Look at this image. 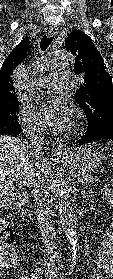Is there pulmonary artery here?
<instances>
[{
	"mask_svg": "<svg viewBox=\"0 0 113 279\" xmlns=\"http://www.w3.org/2000/svg\"><path fill=\"white\" fill-rule=\"evenodd\" d=\"M68 75L65 73L61 74H52L49 77H46L40 81V86L43 89H58L62 85L67 83Z\"/></svg>",
	"mask_w": 113,
	"mask_h": 279,
	"instance_id": "obj_1",
	"label": "pulmonary artery"
}]
</instances>
